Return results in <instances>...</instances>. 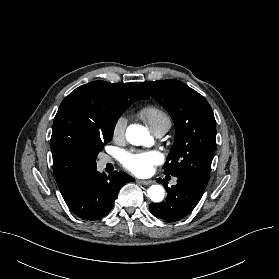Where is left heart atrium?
<instances>
[{
  "mask_svg": "<svg viewBox=\"0 0 279 279\" xmlns=\"http://www.w3.org/2000/svg\"><path fill=\"white\" fill-rule=\"evenodd\" d=\"M158 151L129 152L122 156V163L126 169L138 176L152 173L155 165L162 161Z\"/></svg>",
  "mask_w": 279,
  "mask_h": 279,
  "instance_id": "left-heart-atrium-1",
  "label": "left heart atrium"
}]
</instances>
